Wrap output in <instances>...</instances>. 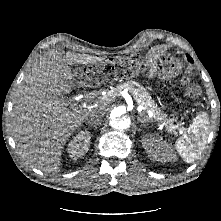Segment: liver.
Segmentation results:
<instances>
[{
	"label": "liver",
	"instance_id": "1",
	"mask_svg": "<svg viewBox=\"0 0 221 221\" xmlns=\"http://www.w3.org/2000/svg\"><path fill=\"white\" fill-rule=\"evenodd\" d=\"M104 58L88 54L51 50L35 62L18 86L11 114L10 130L20 156L46 173L60 169L62 149L93 109L103 116L105 102L76 109L64 95L74 88L69 65L95 64Z\"/></svg>",
	"mask_w": 221,
	"mask_h": 221
}]
</instances>
